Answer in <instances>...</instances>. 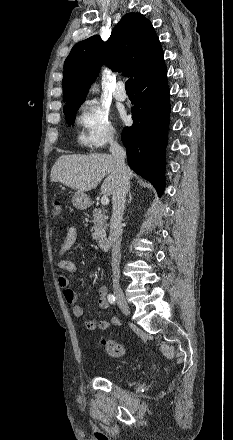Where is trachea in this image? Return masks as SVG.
Wrapping results in <instances>:
<instances>
[{"label":"trachea","mask_w":233,"mask_h":440,"mask_svg":"<svg viewBox=\"0 0 233 440\" xmlns=\"http://www.w3.org/2000/svg\"><path fill=\"white\" fill-rule=\"evenodd\" d=\"M126 91L134 92L133 78H129L126 81Z\"/></svg>","instance_id":"1"}]
</instances>
